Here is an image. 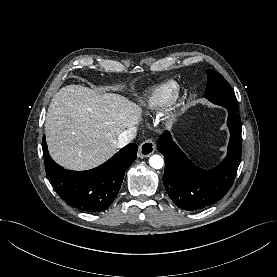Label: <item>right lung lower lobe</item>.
<instances>
[{
  "label": "right lung lower lobe",
  "mask_w": 277,
  "mask_h": 277,
  "mask_svg": "<svg viewBox=\"0 0 277 277\" xmlns=\"http://www.w3.org/2000/svg\"><path fill=\"white\" fill-rule=\"evenodd\" d=\"M45 170L58 194L66 203L82 212L107 209L117 196L126 169L137 158V145L130 143L104 164L88 171H71L56 164L42 141Z\"/></svg>",
  "instance_id": "98d812e1"
}]
</instances>
